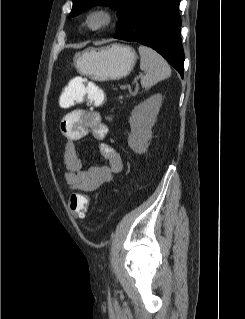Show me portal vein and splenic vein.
Segmentation results:
<instances>
[{
  "instance_id": "obj_1",
  "label": "portal vein and splenic vein",
  "mask_w": 245,
  "mask_h": 319,
  "mask_svg": "<svg viewBox=\"0 0 245 319\" xmlns=\"http://www.w3.org/2000/svg\"><path fill=\"white\" fill-rule=\"evenodd\" d=\"M127 87L125 85H121L120 89H126Z\"/></svg>"
}]
</instances>
